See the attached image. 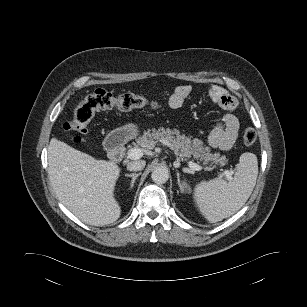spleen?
<instances>
[{"instance_id":"1","label":"spleen","mask_w":307,"mask_h":307,"mask_svg":"<svg viewBox=\"0 0 307 307\" xmlns=\"http://www.w3.org/2000/svg\"><path fill=\"white\" fill-rule=\"evenodd\" d=\"M257 176L256 155L243 153L232 179L228 182L221 178L200 182L194 188V201L201 214L210 223H216L235 214L246 203Z\"/></svg>"}]
</instances>
